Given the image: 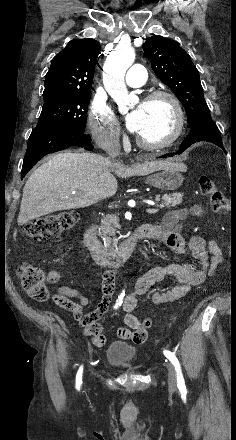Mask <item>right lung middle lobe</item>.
<instances>
[{"label": "right lung middle lobe", "instance_id": "dd1d6c3e", "mask_svg": "<svg viewBox=\"0 0 236 440\" xmlns=\"http://www.w3.org/2000/svg\"><path fill=\"white\" fill-rule=\"evenodd\" d=\"M91 93L44 103L35 129H77L85 131Z\"/></svg>", "mask_w": 236, "mask_h": 440}]
</instances>
